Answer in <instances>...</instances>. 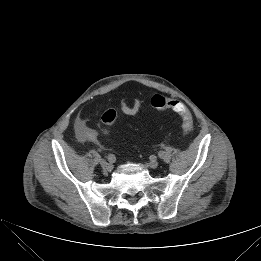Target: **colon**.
Here are the masks:
<instances>
[{"instance_id":"5ec220e1","label":"colon","mask_w":261,"mask_h":261,"mask_svg":"<svg viewBox=\"0 0 261 261\" xmlns=\"http://www.w3.org/2000/svg\"><path fill=\"white\" fill-rule=\"evenodd\" d=\"M151 105L158 110H172L178 113L182 118V129L184 134H189L193 128V120L190 111L186 105L180 100L167 98L159 94L154 95L151 98ZM117 119V112L113 109L106 111L102 117V122L110 126Z\"/></svg>"}]
</instances>
